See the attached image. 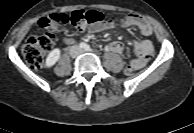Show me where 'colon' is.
<instances>
[{"label": "colon", "mask_w": 194, "mask_h": 133, "mask_svg": "<svg viewBox=\"0 0 194 133\" xmlns=\"http://www.w3.org/2000/svg\"><path fill=\"white\" fill-rule=\"evenodd\" d=\"M106 16L100 11L80 9L70 14L59 13L43 17L39 25L45 29L41 35H32L23 43L21 53L29 66L41 68L45 55L51 50L56 40V33L67 23L82 31L87 27L106 23ZM135 68L131 65L124 69L125 75H132Z\"/></svg>", "instance_id": "colon-1"}]
</instances>
